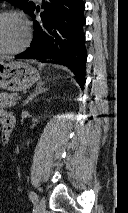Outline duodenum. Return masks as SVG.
Returning a JSON list of instances; mask_svg holds the SVG:
<instances>
[{
    "mask_svg": "<svg viewBox=\"0 0 128 213\" xmlns=\"http://www.w3.org/2000/svg\"><path fill=\"white\" fill-rule=\"evenodd\" d=\"M1 123L3 127L2 134H1V142L3 144H6L9 142L11 134L14 130L15 123H16L15 117L12 114L8 113L2 119Z\"/></svg>",
    "mask_w": 128,
    "mask_h": 213,
    "instance_id": "1",
    "label": "duodenum"
}]
</instances>
